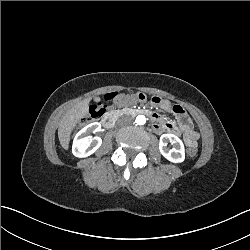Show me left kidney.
I'll use <instances>...</instances> for the list:
<instances>
[{
  "label": "left kidney",
  "mask_w": 250,
  "mask_h": 250,
  "mask_svg": "<svg viewBox=\"0 0 250 250\" xmlns=\"http://www.w3.org/2000/svg\"><path fill=\"white\" fill-rule=\"evenodd\" d=\"M168 142L176 145V148L167 150L166 146ZM159 150H160V153L170 162L180 163L184 161L185 150H184L183 142L174 134L161 135L160 141H159Z\"/></svg>",
  "instance_id": "obj_1"
}]
</instances>
